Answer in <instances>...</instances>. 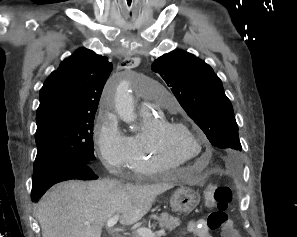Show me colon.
Instances as JSON below:
<instances>
[{
	"label": "colon",
	"instance_id": "colon-1",
	"mask_svg": "<svg viewBox=\"0 0 297 237\" xmlns=\"http://www.w3.org/2000/svg\"><path fill=\"white\" fill-rule=\"evenodd\" d=\"M205 194L209 208L208 227L212 230H220L224 237H242L227 215V209L232 201L230 188L220 183L208 188Z\"/></svg>",
	"mask_w": 297,
	"mask_h": 237
}]
</instances>
